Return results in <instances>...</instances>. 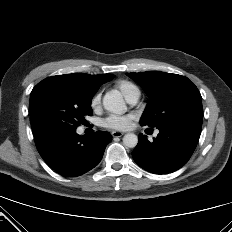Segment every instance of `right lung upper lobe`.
I'll return each mask as SVG.
<instances>
[{
	"label": "right lung upper lobe",
	"mask_w": 232,
	"mask_h": 232,
	"mask_svg": "<svg viewBox=\"0 0 232 232\" xmlns=\"http://www.w3.org/2000/svg\"><path fill=\"white\" fill-rule=\"evenodd\" d=\"M85 80L92 89L98 90L100 85L112 79V74L89 75L84 73L69 74Z\"/></svg>",
	"instance_id": "1"
}]
</instances>
